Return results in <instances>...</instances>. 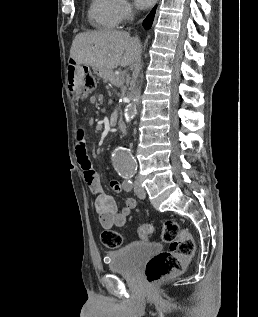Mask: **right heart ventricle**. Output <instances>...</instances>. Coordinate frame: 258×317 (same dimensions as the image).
Segmentation results:
<instances>
[{
	"mask_svg": "<svg viewBox=\"0 0 258 317\" xmlns=\"http://www.w3.org/2000/svg\"><path fill=\"white\" fill-rule=\"evenodd\" d=\"M118 0H92L88 8L90 23L99 30H111L119 24Z\"/></svg>",
	"mask_w": 258,
	"mask_h": 317,
	"instance_id": "e07e8e85",
	"label": "right heart ventricle"
}]
</instances>
